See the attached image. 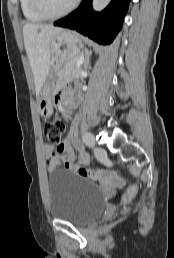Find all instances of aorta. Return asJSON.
<instances>
[{
    "label": "aorta",
    "instance_id": "762f6f07",
    "mask_svg": "<svg viewBox=\"0 0 174 258\" xmlns=\"http://www.w3.org/2000/svg\"><path fill=\"white\" fill-rule=\"evenodd\" d=\"M111 0H93L92 7L95 11H102Z\"/></svg>",
    "mask_w": 174,
    "mask_h": 258
}]
</instances>
